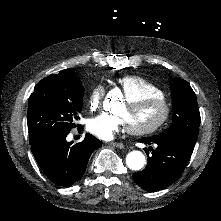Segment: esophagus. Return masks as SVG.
Returning <instances> with one entry per match:
<instances>
[{
    "instance_id": "obj_1",
    "label": "esophagus",
    "mask_w": 221,
    "mask_h": 221,
    "mask_svg": "<svg viewBox=\"0 0 221 221\" xmlns=\"http://www.w3.org/2000/svg\"><path fill=\"white\" fill-rule=\"evenodd\" d=\"M109 146H114L116 148H119V149H123L124 148V145L123 143H119V142H110L108 143Z\"/></svg>"
}]
</instances>
